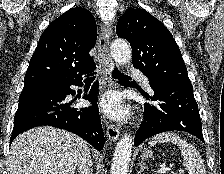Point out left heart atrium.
I'll use <instances>...</instances> for the list:
<instances>
[{
	"instance_id": "obj_1",
	"label": "left heart atrium",
	"mask_w": 224,
	"mask_h": 174,
	"mask_svg": "<svg viewBox=\"0 0 224 174\" xmlns=\"http://www.w3.org/2000/svg\"><path fill=\"white\" fill-rule=\"evenodd\" d=\"M100 106L108 116L115 119H123L128 115V109L120 96L114 93L105 94L100 100Z\"/></svg>"
}]
</instances>
